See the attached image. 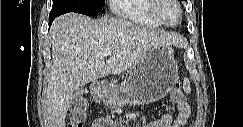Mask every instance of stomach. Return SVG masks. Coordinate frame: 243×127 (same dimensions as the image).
<instances>
[{
	"instance_id": "obj_1",
	"label": "stomach",
	"mask_w": 243,
	"mask_h": 127,
	"mask_svg": "<svg viewBox=\"0 0 243 127\" xmlns=\"http://www.w3.org/2000/svg\"><path fill=\"white\" fill-rule=\"evenodd\" d=\"M178 80V66L170 45L153 48L129 71L122 85L98 84L95 93L113 108L147 104L162 99Z\"/></svg>"
}]
</instances>
